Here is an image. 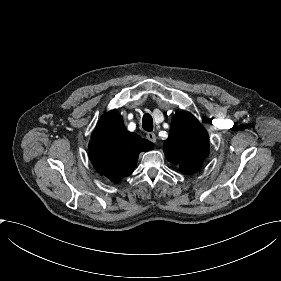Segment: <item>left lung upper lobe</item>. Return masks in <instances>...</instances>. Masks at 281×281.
<instances>
[{
  "instance_id": "1",
  "label": "left lung upper lobe",
  "mask_w": 281,
  "mask_h": 281,
  "mask_svg": "<svg viewBox=\"0 0 281 281\" xmlns=\"http://www.w3.org/2000/svg\"><path fill=\"white\" fill-rule=\"evenodd\" d=\"M166 158L184 174L198 171L209 153V138L204 127L189 112L176 113L168 139L163 145Z\"/></svg>"
}]
</instances>
